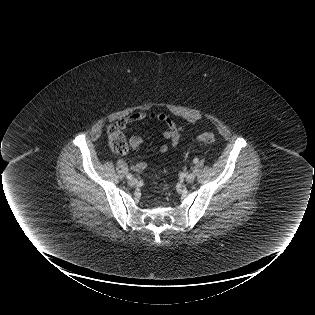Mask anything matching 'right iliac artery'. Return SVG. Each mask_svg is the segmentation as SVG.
Wrapping results in <instances>:
<instances>
[{"mask_svg":"<svg viewBox=\"0 0 315 315\" xmlns=\"http://www.w3.org/2000/svg\"><path fill=\"white\" fill-rule=\"evenodd\" d=\"M127 179H131L133 176L131 174H127Z\"/></svg>","mask_w":315,"mask_h":315,"instance_id":"1","label":"right iliac artery"}]
</instances>
